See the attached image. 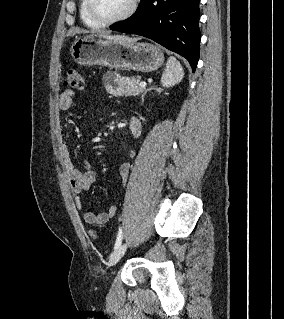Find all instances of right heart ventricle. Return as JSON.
Listing matches in <instances>:
<instances>
[{
	"mask_svg": "<svg viewBox=\"0 0 284 319\" xmlns=\"http://www.w3.org/2000/svg\"><path fill=\"white\" fill-rule=\"evenodd\" d=\"M79 15L83 24L90 29L97 30L103 27V25L94 21L89 15L88 9H87V0L79 1Z\"/></svg>",
	"mask_w": 284,
	"mask_h": 319,
	"instance_id": "right-heart-ventricle-1",
	"label": "right heart ventricle"
}]
</instances>
